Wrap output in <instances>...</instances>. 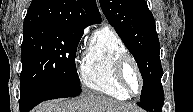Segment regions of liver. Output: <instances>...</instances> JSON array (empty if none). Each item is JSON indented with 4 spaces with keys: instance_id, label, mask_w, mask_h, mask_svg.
<instances>
[{
    "instance_id": "6515ba94",
    "label": "liver",
    "mask_w": 193,
    "mask_h": 112,
    "mask_svg": "<svg viewBox=\"0 0 193 112\" xmlns=\"http://www.w3.org/2000/svg\"><path fill=\"white\" fill-rule=\"evenodd\" d=\"M134 110L131 104L91 95L68 101H45L32 112H131Z\"/></svg>"
}]
</instances>
